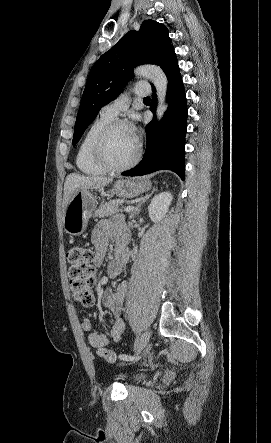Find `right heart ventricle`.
<instances>
[{
	"label": "right heart ventricle",
	"instance_id": "right-heart-ventricle-1",
	"mask_svg": "<svg viewBox=\"0 0 271 443\" xmlns=\"http://www.w3.org/2000/svg\"><path fill=\"white\" fill-rule=\"evenodd\" d=\"M113 116L100 115L95 118L85 131L75 155V164L80 172L88 176H100L106 173L94 156V144L102 129L112 120Z\"/></svg>",
	"mask_w": 271,
	"mask_h": 443
}]
</instances>
